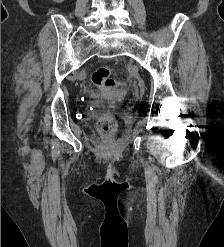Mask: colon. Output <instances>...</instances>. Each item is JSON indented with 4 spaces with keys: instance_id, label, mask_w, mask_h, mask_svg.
I'll return each mask as SVG.
<instances>
[{
    "instance_id": "obj_1",
    "label": "colon",
    "mask_w": 224,
    "mask_h": 247,
    "mask_svg": "<svg viewBox=\"0 0 224 247\" xmlns=\"http://www.w3.org/2000/svg\"><path fill=\"white\" fill-rule=\"evenodd\" d=\"M94 85L99 87L105 94L113 95L117 91V83L111 76V69L108 66H100L91 76ZM115 122L111 117L103 118L98 123V129L104 134L113 131Z\"/></svg>"
}]
</instances>
